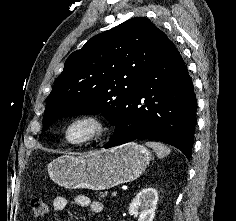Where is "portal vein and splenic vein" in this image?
I'll use <instances>...</instances> for the list:
<instances>
[{
	"label": "portal vein and splenic vein",
	"mask_w": 236,
	"mask_h": 221,
	"mask_svg": "<svg viewBox=\"0 0 236 221\" xmlns=\"http://www.w3.org/2000/svg\"><path fill=\"white\" fill-rule=\"evenodd\" d=\"M116 195H117V191H113L111 194L112 197H115Z\"/></svg>",
	"instance_id": "portal-vein-and-splenic-vein-1"
}]
</instances>
